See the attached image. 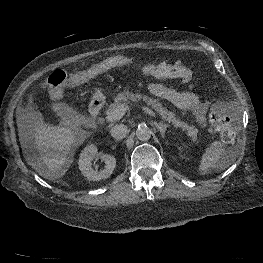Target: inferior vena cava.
Wrapping results in <instances>:
<instances>
[{"mask_svg":"<svg viewBox=\"0 0 263 263\" xmlns=\"http://www.w3.org/2000/svg\"><path fill=\"white\" fill-rule=\"evenodd\" d=\"M111 136L116 140H121L125 138L128 133V129L125 125L119 124L112 127L110 130Z\"/></svg>","mask_w":263,"mask_h":263,"instance_id":"obj_1","label":"inferior vena cava"}]
</instances>
